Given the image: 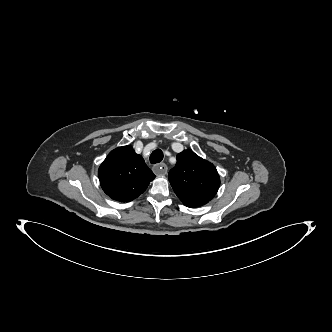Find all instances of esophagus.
Instances as JSON below:
<instances>
[{
    "mask_svg": "<svg viewBox=\"0 0 332 332\" xmlns=\"http://www.w3.org/2000/svg\"><path fill=\"white\" fill-rule=\"evenodd\" d=\"M168 167L165 163H159L154 165L153 171L158 176H164L167 174Z\"/></svg>",
    "mask_w": 332,
    "mask_h": 332,
    "instance_id": "obj_1",
    "label": "esophagus"
}]
</instances>
